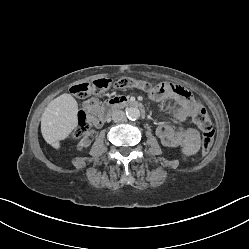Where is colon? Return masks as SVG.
Wrapping results in <instances>:
<instances>
[{"instance_id": "1", "label": "colon", "mask_w": 249, "mask_h": 249, "mask_svg": "<svg viewBox=\"0 0 249 249\" xmlns=\"http://www.w3.org/2000/svg\"><path fill=\"white\" fill-rule=\"evenodd\" d=\"M119 89L139 88L146 92H155V87L144 80H137L130 77H123L116 81L104 79L83 82L73 85L70 92L73 96L84 99L91 96H97L103 93L109 87ZM98 103L95 99L85 101L83 108L78 113V124L74 130V137L82 139L95 123L98 115ZM194 120L202 132V154L205 155L211 148L214 138V127L208 111L204 107H199Z\"/></svg>"}]
</instances>
